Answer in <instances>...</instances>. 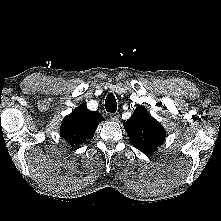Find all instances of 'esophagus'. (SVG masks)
Here are the masks:
<instances>
[{
    "label": "esophagus",
    "instance_id": "1",
    "mask_svg": "<svg viewBox=\"0 0 221 221\" xmlns=\"http://www.w3.org/2000/svg\"><path fill=\"white\" fill-rule=\"evenodd\" d=\"M110 119L113 121H117L119 119V113H112L110 115Z\"/></svg>",
    "mask_w": 221,
    "mask_h": 221
}]
</instances>
